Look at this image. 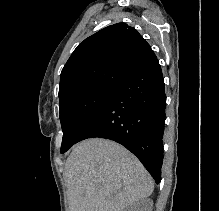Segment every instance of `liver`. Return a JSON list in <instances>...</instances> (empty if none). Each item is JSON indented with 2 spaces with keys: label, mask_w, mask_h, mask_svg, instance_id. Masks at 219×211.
<instances>
[{
  "label": "liver",
  "mask_w": 219,
  "mask_h": 211,
  "mask_svg": "<svg viewBox=\"0 0 219 211\" xmlns=\"http://www.w3.org/2000/svg\"><path fill=\"white\" fill-rule=\"evenodd\" d=\"M64 179L70 211H126L154 189L153 177L138 157L103 137L74 145Z\"/></svg>",
  "instance_id": "6515ba94"
}]
</instances>
